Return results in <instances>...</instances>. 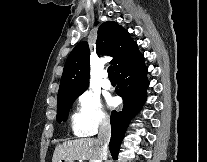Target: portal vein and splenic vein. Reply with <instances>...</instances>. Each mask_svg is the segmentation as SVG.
Listing matches in <instances>:
<instances>
[{"instance_id": "1", "label": "portal vein and splenic vein", "mask_w": 207, "mask_h": 162, "mask_svg": "<svg viewBox=\"0 0 207 162\" xmlns=\"http://www.w3.org/2000/svg\"><path fill=\"white\" fill-rule=\"evenodd\" d=\"M79 162H82V160H79ZM94 162H97V161H94Z\"/></svg>"}]
</instances>
